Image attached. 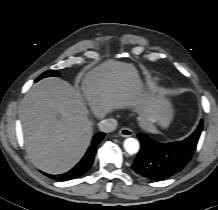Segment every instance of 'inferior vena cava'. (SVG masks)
Returning <instances> with one entry per match:
<instances>
[{
	"label": "inferior vena cava",
	"mask_w": 218,
	"mask_h": 210,
	"mask_svg": "<svg viewBox=\"0 0 218 210\" xmlns=\"http://www.w3.org/2000/svg\"><path fill=\"white\" fill-rule=\"evenodd\" d=\"M98 126L102 132L109 133L117 128V121L114 118L103 119Z\"/></svg>",
	"instance_id": "602c4592"
}]
</instances>
